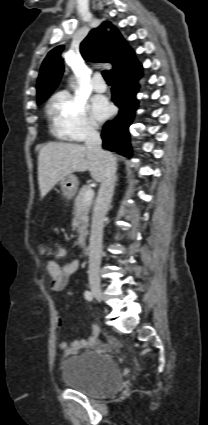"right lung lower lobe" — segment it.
Here are the masks:
<instances>
[{
    "label": "right lung lower lobe",
    "mask_w": 208,
    "mask_h": 425,
    "mask_svg": "<svg viewBox=\"0 0 208 425\" xmlns=\"http://www.w3.org/2000/svg\"><path fill=\"white\" fill-rule=\"evenodd\" d=\"M142 75V66L137 61L130 68L112 76V101L120 108L118 116L104 125L101 134L103 148L131 157L130 136L128 127L131 125L135 110L138 108L136 93L137 81Z\"/></svg>",
    "instance_id": "obj_1"
}]
</instances>
